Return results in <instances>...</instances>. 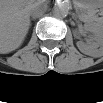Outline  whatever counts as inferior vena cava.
Listing matches in <instances>:
<instances>
[{"label": "inferior vena cava", "mask_w": 103, "mask_h": 103, "mask_svg": "<svg viewBox=\"0 0 103 103\" xmlns=\"http://www.w3.org/2000/svg\"><path fill=\"white\" fill-rule=\"evenodd\" d=\"M46 11V5L42 3H35L32 5L31 10H30V15L33 18H38L40 17L44 12Z\"/></svg>", "instance_id": "inferior-vena-cava-1"}]
</instances>
